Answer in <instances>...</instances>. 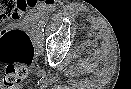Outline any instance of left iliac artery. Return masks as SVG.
<instances>
[{
    "label": "left iliac artery",
    "instance_id": "left-iliac-artery-1",
    "mask_svg": "<svg viewBox=\"0 0 131 89\" xmlns=\"http://www.w3.org/2000/svg\"><path fill=\"white\" fill-rule=\"evenodd\" d=\"M45 25H46V19H43V20L40 22V26L45 27Z\"/></svg>",
    "mask_w": 131,
    "mask_h": 89
}]
</instances>
